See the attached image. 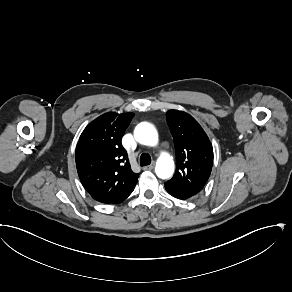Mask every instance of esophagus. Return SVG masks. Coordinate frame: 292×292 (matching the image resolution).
<instances>
[{
    "instance_id": "esophagus-1",
    "label": "esophagus",
    "mask_w": 292,
    "mask_h": 292,
    "mask_svg": "<svg viewBox=\"0 0 292 292\" xmlns=\"http://www.w3.org/2000/svg\"><path fill=\"white\" fill-rule=\"evenodd\" d=\"M154 166H155V162H152L150 165L144 166L143 170H152Z\"/></svg>"
}]
</instances>
